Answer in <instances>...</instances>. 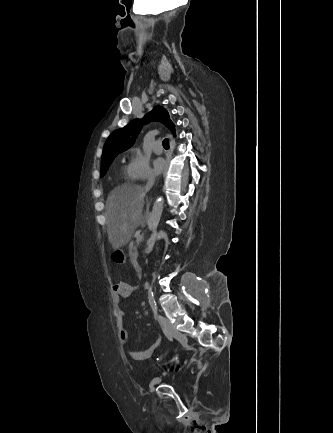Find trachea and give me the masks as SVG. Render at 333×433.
<instances>
[{
    "label": "trachea",
    "instance_id": "trachea-1",
    "mask_svg": "<svg viewBox=\"0 0 333 433\" xmlns=\"http://www.w3.org/2000/svg\"><path fill=\"white\" fill-rule=\"evenodd\" d=\"M163 147L166 148V149L169 148V140H168L167 138H165V139L163 140Z\"/></svg>",
    "mask_w": 333,
    "mask_h": 433
}]
</instances>
